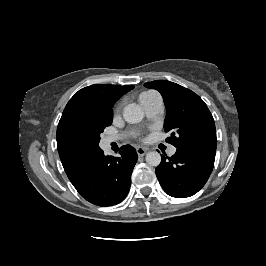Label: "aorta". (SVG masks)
Segmentation results:
<instances>
[{
	"label": "aorta",
	"instance_id": "obj_1",
	"mask_svg": "<svg viewBox=\"0 0 266 266\" xmlns=\"http://www.w3.org/2000/svg\"><path fill=\"white\" fill-rule=\"evenodd\" d=\"M123 117L126 122L136 124L142 121L144 112L138 104L132 103L124 108ZM145 160L150 166L156 167L161 162V155L157 151H151L146 154Z\"/></svg>",
	"mask_w": 266,
	"mask_h": 266
}]
</instances>
